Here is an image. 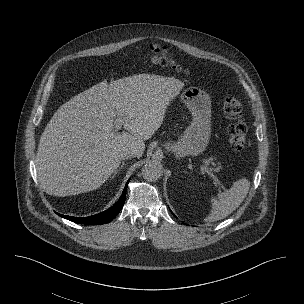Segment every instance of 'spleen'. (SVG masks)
I'll return each mask as SVG.
<instances>
[{"label":"spleen","mask_w":304,"mask_h":304,"mask_svg":"<svg viewBox=\"0 0 304 304\" xmlns=\"http://www.w3.org/2000/svg\"><path fill=\"white\" fill-rule=\"evenodd\" d=\"M250 182L246 178L236 181L230 190L218 194L211 199L212 209L208 217L209 222L221 220L231 214L246 198Z\"/></svg>","instance_id":"3e777b00"}]
</instances>
